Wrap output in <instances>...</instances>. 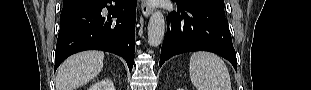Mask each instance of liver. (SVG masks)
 I'll use <instances>...</instances> for the list:
<instances>
[{
	"instance_id": "liver-1",
	"label": "liver",
	"mask_w": 311,
	"mask_h": 90,
	"mask_svg": "<svg viewBox=\"0 0 311 90\" xmlns=\"http://www.w3.org/2000/svg\"><path fill=\"white\" fill-rule=\"evenodd\" d=\"M104 53L85 51L66 59L56 77V90H74L96 77L103 68Z\"/></svg>"
}]
</instances>
